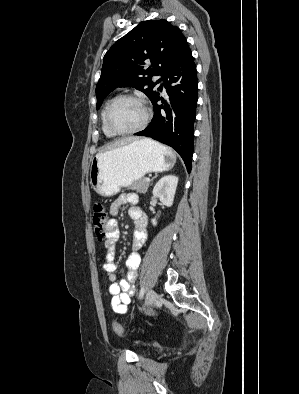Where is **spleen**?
<instances>
[{"label": "spleen", "instance_id": "3e777b00", "mask_svg": "<svg viewBox=\"0 0 299 394\" xmlns=\"http://www.w3.org/2000/svg\"><path fill=\"white\" fill-rule=\"evenodd\" d=\"M153 142H154V141H153ZM155 144L158 145L159 147H162L160 144H158V143H156V142H155Z\"/></svg>", "mask_w": 299, "mask_h": 394}]
</instances>
